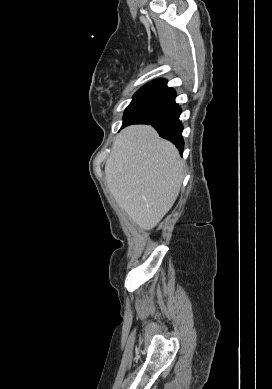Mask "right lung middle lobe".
Masks as SVG:
<instances>
[{"label":"right lung middle lobe","mask_w":272,"mask_h":389,"mask_svg":"<svg viewBox=\"0 0 272 389\" xmlns=\"http://www.w3.org/2000/svg\"><path fill=\"white\" fill-rule=\"evenodd\" d=\"M162 87L157 86V85H151V84H146L142 88H140L133 96V100L131 103L128 105L124 112V117L123 119L131 112L133 108H135L137 105H139L142 101H144L146 98L151 96L152 94L156 93L159 91Z\"/></svg>","instance_id":"dd1d6c3e"}]
</instances>
